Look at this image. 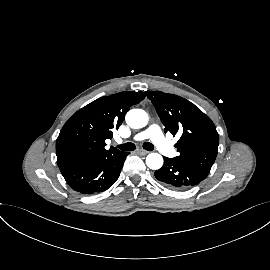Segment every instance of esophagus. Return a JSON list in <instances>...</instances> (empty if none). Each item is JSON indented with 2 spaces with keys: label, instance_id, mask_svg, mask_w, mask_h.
Segmentation results:
<instances>
[{
  "label": "esophagus",
  "instance_id": "34e87169",
  "mask_svg": "<svg viewBox=\"0 0 270 270\" xmlns=\"http://www.w3.org/2000/svg\"><path fill=\"white\" fill-rule=\"evenodd\" d=\"M138 153H140L141 155H147L149 152L143 149H139Z\"/></svg>",
  "mask_w": 270,
  "mask_h": 270
}]
</instances>
